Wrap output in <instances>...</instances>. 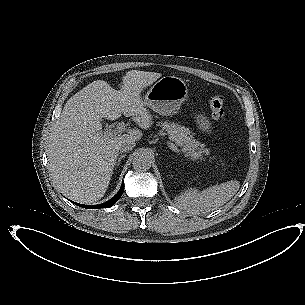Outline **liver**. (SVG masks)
Returning a JSON list of instances; mask_svg holds the SVG:
<instances>
[{
	"mask_svg": "<svg viewBox=\"0 0 305 305\" xmlns=\"http://www.w3.org/2000/svg\"><path fill=\"white\" fill-rule=\"evenodd\" d=\"M157 73L152 81L160 78ZM130 90L116 91L97 80L73 95L51 128L48 141L49 170L54 182L70 198L85 204L100 200L109 185L118 156V143L130 134L109 135L102 131L101 119L116 120L121 114L132 117L142 129L149 128L152 117Z\"/></svg>",
	"mask_w": 305,
	"mask_h": 305,
	"instance_id": "6515ba94",
	"label": "liver"
}]
</instances>
